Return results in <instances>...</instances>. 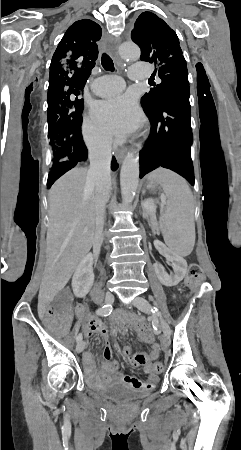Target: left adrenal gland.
Returning <instances> with one entry per match:
<instances>
[{
  "label": "left adrenal gland",
  "mask_w": 241,
  "mask_h": 450,
  "mask_svg": "<svg viewBox=\"0 0 241 450\" xmlns=\"http://www.w3.org/2000/svg\"><path fill=\"white\" fill-rule=\"evenodd\" d=\"M142 210H143V218H147L148 224H149L150 228H152L151 220H149L148 214H147L145 208H142Z\"/></svg>",
  "instance_id": "obj_1"
}]
</instances>
